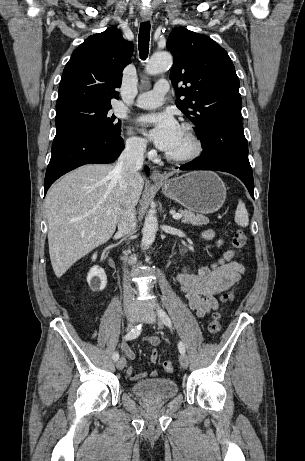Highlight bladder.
<instances>
[{
  "instance_id": "obj_1",
  "label": "bladder",
  "mask_w": 305,
  "mask_h": 461,
  "mask_svg": "<svg viewBox=\"0 0 305 461\" xmlns=\"http://www.w3.org/2000/svg\"><path fill=\"white\" fill-rule=\"evenodd\" d=\"M132 391L145 399L164 401L178 394V386L172 378H150L136 382Z\"/></svg>"
}]
</instances>
